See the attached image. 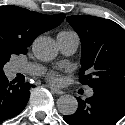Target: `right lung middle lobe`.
I'll use <instances>...</instances> for the list:
<instances>
[{
  "mask_svg": "<svg viewBox=\"0 0 125 125\" xmlns=\"http://www.w3.org/2000/svg\"><path fill=\"white\" fill-rule=\"evenodd\" d=\"M10 57L4 58V59H0V75L4 74L3 72V66L5 65V63L7 61H9Z\"/></svg>",
  "mask_w": 125,
  "mask_h": 125,
  "instance_id": "1",
  "label": "right lung middle lobe"
}]
</instances>
